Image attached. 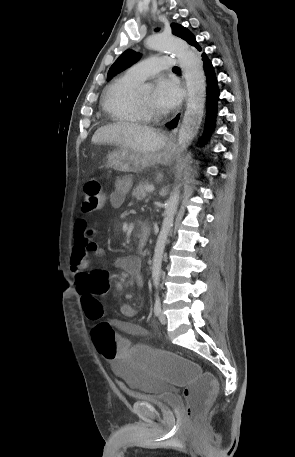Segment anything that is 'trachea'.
Wrapping results in <instances>:
<instances>
[{
	"instance_id": "1",
	"label": "trachea",
	"mask_w": 295,
	"mask_h": 457,
	"mask_svg": "<svg viewBox=\"0 0 295 457\" xmlns=\"http://www.w3.org/2000/svg\"><path fill=\"white\" fill-rule=\"evenodd\" d=\"M173 69H174V70H179V67L176 66V67H174Z\"/></svg>"
}]
</instances>
